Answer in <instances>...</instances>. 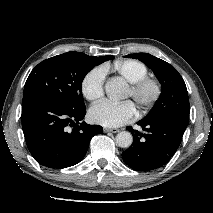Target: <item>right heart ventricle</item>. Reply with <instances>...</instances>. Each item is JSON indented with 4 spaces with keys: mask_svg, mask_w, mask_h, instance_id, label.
Segmentation results:
<instances>
[{
    "mask_svg": "<svg viewBox=\"0 0 213 213\" xmlns=\"http://www.w3.org/2000/svg\"><path fill=\"white\" fill-rule=\"evenodd\" d=\"M113 69L126 81L133 83L147 77V67L137 60L118 61L113 65Z\"/></svg>",
    "mask_w": 213,
    "mask_h": 213,
    "instance_id": "1",
    "label": "right heart ventricle"
}]
</instances>
